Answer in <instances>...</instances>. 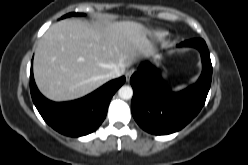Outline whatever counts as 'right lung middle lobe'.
<instances>
[{"instance_id":"obj_1","label":"right lung middle lobe","mask_w":248,"mask_h":165,"mask_svg":"<svg viewBox=\"0 0 248 165\" xmlns=\"http://www.w3.org/2000/svg\"><path fill=\"white\" fill-rule=\"evenodd\" d=\"M72 15L81 16V15H84V14H82V13H68V14L64 15L62 18H66V17L72 16Z\"/></svg>"}]
</instances>
